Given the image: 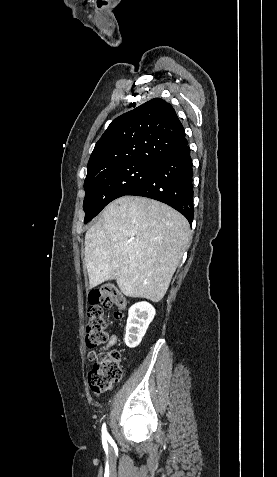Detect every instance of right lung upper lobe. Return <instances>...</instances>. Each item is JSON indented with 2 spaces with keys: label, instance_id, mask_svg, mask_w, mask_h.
Returning a JSON list of instances; mask_svg holds the SVG:
<instances>
[{
  "label": "right lung upper lobe",
  "instance_id": "obj_1",
  "mask_svg": "<svg viewBox=\"0 0 277 477\" xmlns=\"http://www.w3.org/2000/svg\"><path fill=\"white\" fill-rule=\"evenodd\" d=\"M188 144L172 105L154 98L114 119L88 162V173L141 162L157 164Z\"/></svg>",
  "mask_w": 277,
  "mask_h": 477
}]
</instances>
